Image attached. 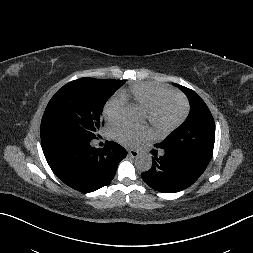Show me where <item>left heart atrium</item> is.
<instances>
[{
	"label": "left heart atrium",
	"mask_w": 253,
	"mask_h": 253,
	"mask_svg": "<svg viewBox=\"0 0 253 253\" xmlns=\"http://www.w3.org/2000/svg\"><path fill=\"white\" fill-rule=\"evenodd\" d=\"M113 135L119 142L132 146L137 144L140 140L150 137L151 132L145 126L138 128L118 126L114 128Z\"/></svg>",
	"instance_id": "39dd6f15"
}]
</instances>
